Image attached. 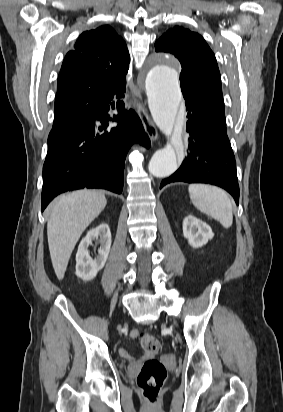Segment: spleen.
Here are the masks:
<instances>
[{"mask_svg":"<svg viewBox=\"0 0 283 412\" xmlns=\"http://www.w3.org/2000/svg\"><path fill=\"white\" fill-rule=\"evenodd\" d=\"M193 205L202 213L219 221L224 228L233 223L232 203L222 189L204 184H192L188 188Z\"/></svg>","mask_w":283,"mask_h":412,"instance_id":"obj_1","label":"spleen"}]
</instances>
